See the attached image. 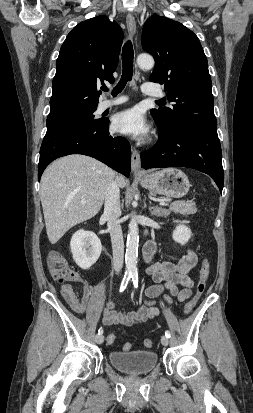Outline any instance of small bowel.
<instances>
[{"label":"small bowel","instance_id":"small-bowel-1","mask_svg":"<svg viewBox=\"0 0 253 413\" xmlns=\"http://www.w3.org/2000/svg\"><path fill=\"white\" fill-rule=\"evenodd\" d=\"M154 253L155 245L153 243L147 244L144 249V259L148 263L146 272L151 277L153 284L145 291L146 302L135 312L117 311L112 303L107 302L103 311L104 325L131 326L156 317L159 314V309L155 306V299L160 297L164 291L169 293L163 296L167 302H171L172 297H176L180 302L191 297L194 282L189 273L198 261L194 250L188 248L177 262L153 261ZM71 282H80V277L75 274ZM60 292L69 306L77 313H84L93 297V289L87 284L74 287L70 283H63L60 286Z\"/></svg>","mask_w":253,"mask_h":413}]
</instances>
